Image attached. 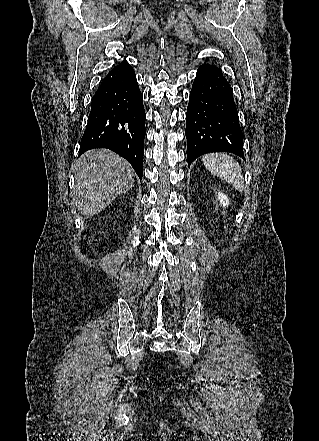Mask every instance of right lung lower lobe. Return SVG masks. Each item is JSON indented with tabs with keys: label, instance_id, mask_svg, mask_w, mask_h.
Here are the masks:
<instances>
[{
	"label": "right lung lower lobe",
	"instance_id": "98d812e1",
	"mask_svg": "<svg viewBox=\"0 0 319 441\" xmlns=\"http://www.w3.org/2000/svg\"><path fill=\"white\" fill-rule=\"evenodd\" d=\"M146 114L133 68L123 61L102 80L91 100L79 156L107 148L124 157L142 178Z\"/></svg>",
	"mask_w": 319,
	"mask_h": 441
}]
</instances>
